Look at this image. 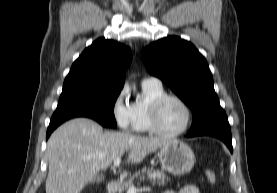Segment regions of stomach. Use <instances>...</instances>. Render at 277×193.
Listing matches in <instances>:
<instances>
[{"mask_svg": "<svg viewBox=\"0 0 277 193\" xmlns=\"http://www.w3.org/2000/svg\"><path fill=\"white\" fill-rule=\"evenodd\" d=\"M161 167L173 175H184L191 171L195 163L192 149L180 140H170L159 151Z\"/></svg>", "mask_w": 277, "mask_h": 193, "instance_id": "obj_1", "label": "stomach"}]
</instances>
